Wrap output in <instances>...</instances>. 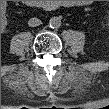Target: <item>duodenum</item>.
<instances>
[{"label": "duodenum", "mask_w": 109, "mask_h": 109, "mask_svg": "<svg viewBox=\"0 0 109 109\" xmlns=\"http://www.w3.org/2000/svg\"><path fill=\"white\" fill-rule=\"evenodd\" d=\"M26 5L33 8L53 9L55 5L49 1H26Z\"/></svg>", "instance_id": "obj_1"}]
</instances>
